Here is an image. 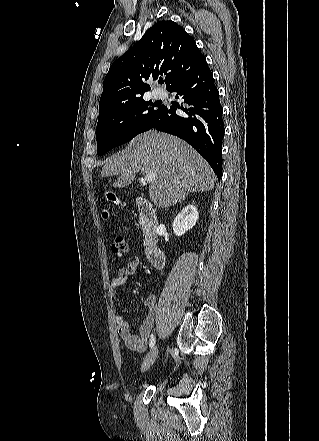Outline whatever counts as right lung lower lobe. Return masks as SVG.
I'll list each match as a JSON object with an SVG mask.
<instances>
[{
    "label": "right lung lower lobe",
    "mask_w": 319,
    "mask_h": 441,
    "mask_svg": "<svg viewBox=\"0 0 319 441\" xmlns=\"http://www.w3.org/2000/svg\"><path fill=\"white\" fill-rule=\"evenodd\" d=\"M168 91L176 92V98H183L189 107L179 106L185 114L178 115L175 107L163 106L153 128L173 134L189 143L207 160L220 179L225 131L223 109L206 59L177 80Z\"/></svg>",
    "instance_id": "98d812e1"
}]
</instances>
